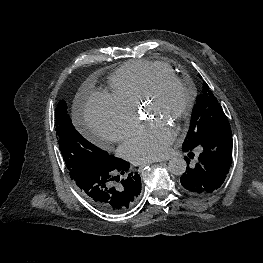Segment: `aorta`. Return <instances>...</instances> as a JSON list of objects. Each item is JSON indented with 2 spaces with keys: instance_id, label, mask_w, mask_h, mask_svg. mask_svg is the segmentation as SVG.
<instances>
[{
  "instance_id": "1",
  "label": "aorta",
  "mask_w": 263,
  "mask_h": 263,
  "mask_svg": "<svg viewBox=\"0 0 263 263\" xmlns=\"http://www.w3.org/2000/svg\"><path fill=\"white\" fill-rule=\"evenodd\" d=\"M186 167V161L181 157H174L168 163L169 171L177 176L184 174Z\"/></svg>"
}]
</instances>
